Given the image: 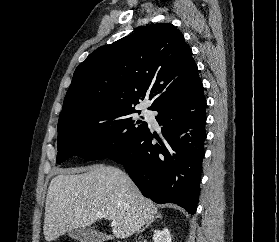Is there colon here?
I'll return each mask as SVG.
<instances>
[{
    "mask_svg": "<svg viewBox=\"0 0 279 242\" xmlns=\"http://www.w3.org/2000/svg\"><path fill=\"white\" fill-rule=\"evenodd\" d=\"M68 242H70V241H68ZM115 242H121V241H115Z\"/></svg>",
    "mask_w": 279,
    "mask_h": 242,
    "instance_id": "obj_1",
    "label": "colon"
}]
</instances>
